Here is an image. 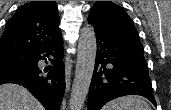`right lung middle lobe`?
Wrapping results in <instances>:
<instances>
[{
	"label": "right lung middle lobe",
	"mask_w": 171,
	"mask_h": 110,
	"mask_svg": "<svg viewBox=\"0 0 171 110\" xmlns=\"http://www.w3.org/2000/svg\"><path fill=\"white\" fill-rule=\"evenodd\" d=\"M32 60V52L2 51L0 52V71L10 70L27 65Z\"/></svg>",
	"instance_id": "1"
}]
</instances>
